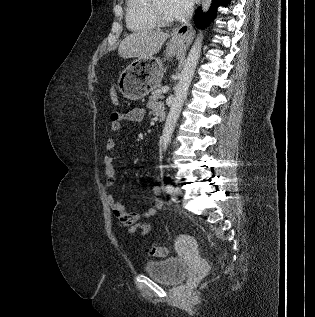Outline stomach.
<instances>
[{
  "label": "stomach",
  "instance_id": "0dacf381",
  "mask_svg": "<svg viewBox=\"0 0 315 317\" xmlns=\"http://www.w3.org/2000/svg\"><path fill=\"white\" fill-rule=\"evenodd\" d=\"M183 42L172 38L166 47V57L180 53ZM164 75V67L160 58H137L133 60L120 74L117 87L120 93L129 100H139L155 89Z\"/></svg>",
  "mask_w": 315,
  "mask_h": 317
}]
</instances>
